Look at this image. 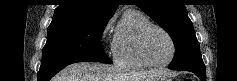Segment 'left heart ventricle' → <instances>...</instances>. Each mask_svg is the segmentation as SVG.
<instances>
[{"instance_id":"obj_1","label":"left heart ventricle","mask_w":237,"mask_h":81,"mask_svg":"<svg viewBox=\"0 0 237 81\" xmlns=\"http://www.w3.org/2000/svg\"><path fill=\"white\" fill-rule=\"evenodd\" d=\"M146 51L153 62L163 63L170 58L172 47L166 35L159 30H152L146 39Z\"/></svg>"}]
</instances>
